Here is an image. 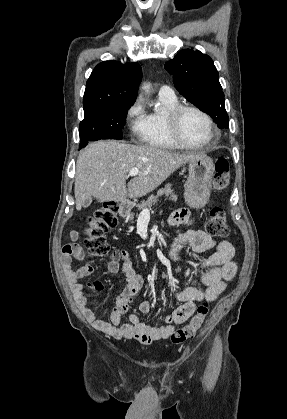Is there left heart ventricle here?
Here are the masks:
<instances>
[{
	"label": "left heart ventricle",
	"mask_w": 287,
	"mask_h": 419,
	"mask_svg": "<svg viewBox=\"0 0 287 419\" xmlns=\"http://www.w3.org/2000/svg\"><path fill=\"white\" fill-rule=\"evenodd\" d=\"M182 137L189 143L201 144L210 138V129L205 119L194 111H185L179 121Z\"/></svg>",
	"instance_id": "1"
}]
</instances>
